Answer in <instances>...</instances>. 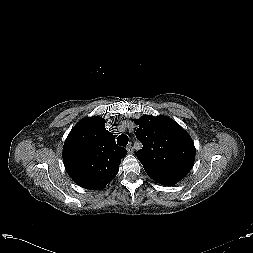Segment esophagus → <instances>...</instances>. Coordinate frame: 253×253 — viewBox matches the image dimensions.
Returning a JSON list of instances; mask_svg holds the SVG:
<instances>
[{"instance_id": "34e87169", "label": "esophagus", "mask_w": 253, "mask_h": 253, "mask_svg": "<svg viewBox=\"0 0 253 253\" xmlns=\"http://www.w3.org/2000/svg\"><path fill=\"white\" fill-rule=\"evenodd\" d=\"M126 149L129 154H132L134 152V148L131 145H128Z\"/></svg>"}]
</instances>
